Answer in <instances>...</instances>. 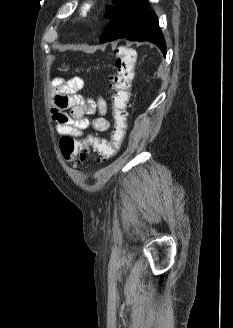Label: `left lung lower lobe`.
<instances>
[{
  "label": "left lung lower lobe",
  "mask_w": 233,
  "mask_h": 328,
  "mask_svg": "<svg viewBox=\"0 0 233 328\" xmlns=\"http://www.w3.org/2000/svg\"><path fill=\"white\" fill-rule=\"evenodd\" d=\"M119 38L132 41H149L166 52L164 37L154 11L149 10L147 0H128L118 14L104 29L100 41L109 42Z\"/></svg>",
  "instance_id": "0a47b994"
}]
</instances>
